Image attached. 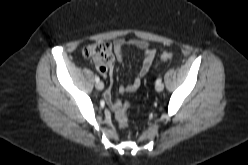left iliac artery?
<instances>
[{"label": "left iliac artery", "instance_id": "obj_1", "mask_svg": "<svg viewBox=\"0 0 248 165\" xmlns=\"http://www.w3.org/2000/svg\"><path fill=\"white\" fill-rule=\"evenodd\" d=\"M161 82H162V79H161V78H158V79L156 80V84L161 83Z\"/></svg>", "mask_w": 248, "mask_h": 165}]
</instances>
